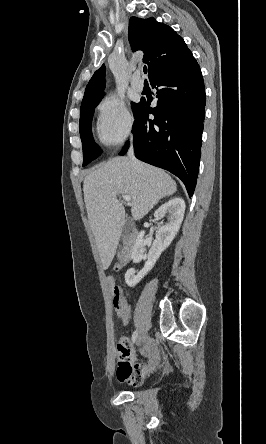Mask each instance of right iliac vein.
<instances>
[{"instance_id": "obj_1", "label": "right iliac vein", "mask_w": 266, "mask_h": 444, "mask_svg": "<svg viewBox=\"0 0 266 444\" xmlns=\"http://www.w3.org/2000/svg\"><path fill=\"white\" fill-rule=\"evenodd\" d=\"M146 337H147V335H146L145 332L140 334V336H139V338L137 340L138 346H141L146 341Z\"/></svg>"}]
</instances>
